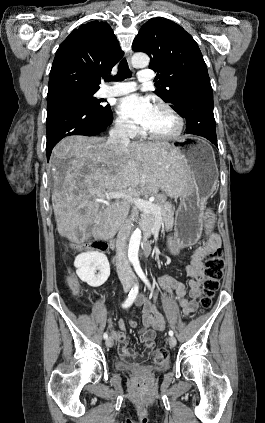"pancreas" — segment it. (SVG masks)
I'll use <instances>...</instances> for the list:
<instances>
[{"label":"pancreas","instance_id":"cf45deb5","mask_svg":"<svg viewBox=\"0 0 265 423\" xmlns=\"http://www.w3.org/2000/svg\"><path fill=\"white\" fill-rule=\"evenodd\" d=\"M154 203L161 208L160 215L163 225L166 229H171L174 225V212L171 202L166 201L165 195H158ZM156 218L157 216L153 212L142 214L140 225L144 231L145 238L150 237L151 229L155 223Z\"/></svg>","mask_w":265,"mask_h":423}]
</instances>
